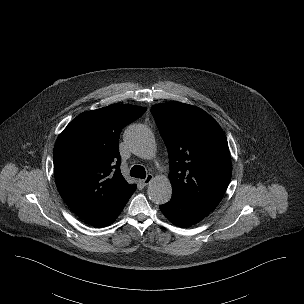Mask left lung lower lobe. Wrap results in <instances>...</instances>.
<instances>
[{
    "mask_svg": "<svg viewBox=\"0 0 304 304\" xmlns=\"http://www.w3.org/2000/svg\"><path fill=\"white\" fill-rule=\"evenodd\" d=\"M160 209L170 222L184 227L198 223L211 212L176 196H172L168 203L160 205Z\"/></svg>",
    "mask_w": 304,
    "mask_h": 304,
    "instance_id": "left-lung-lower-lobe-1",
    "label": "left lung lower lobe"
}]
</instances>
